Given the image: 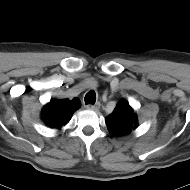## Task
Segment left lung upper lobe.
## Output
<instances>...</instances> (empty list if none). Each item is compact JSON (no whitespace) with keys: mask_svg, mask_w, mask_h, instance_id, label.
Segmentation results:
<instances>
[{"mask_svg":"<svg viewBox=\"0 0 190 190\" xmlns=\"http://www.w3.org/2000/svg\"><path fill=\"white\" fill-rule=\"evenodd\" d=\"M109 132L113 136L130 134L138 127V119L129 103L121 100L112 114L105 119Z\"/></svg>","mask_w":190,"mask_h":190,"instance_id":"1","label":"left lung upper lobe"}]
</instances>
